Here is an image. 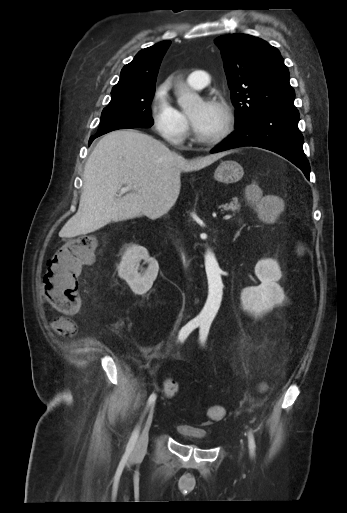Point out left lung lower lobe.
I'll return each instance as SVG.
<instances>
[{
  "label": "left lung lower lobe",
  "mask_w": 347,
  "mask_h": 513,
  "mask_svg": "<svg viewBox=\"0 0 347 513\" xmlns=\"http://www.w3.org/2000/svg\"><path fill=\"white\" fill-rule=\"evenodd\" d=\"M298 110H270L253 116L241 125L212 153L242 146L273 151L300 168L309 180L310 166L303 151V136L298 129Z\"/></svg>",
  "instance_id": "left-lung-lower-lobe-1"
}]
</instances>
